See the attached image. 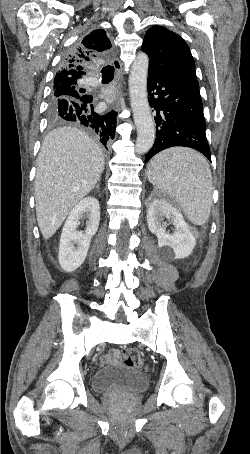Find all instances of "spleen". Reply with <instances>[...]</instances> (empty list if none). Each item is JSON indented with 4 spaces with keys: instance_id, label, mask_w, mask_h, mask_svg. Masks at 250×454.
I'll use <instances>...</instances> for the list:
<instances>
[{
    "instance_id": "spleen-1",
    "label": "spleen",
    "mask_w": 250,
    "mask_h": 454,
    "mask_svg": "<svg viewBox=\"0 0 250 454\" xmlns=\"http://www.w3.org/2000/svg\"><path fill=\"white\" fill-rule=\"evenodd\" d=\"M149 181L175 200L189 221L204 225L210 216L213 179L205 158L182 147L157 154L147 167Z\"/></svg>"
}]
</instances>
